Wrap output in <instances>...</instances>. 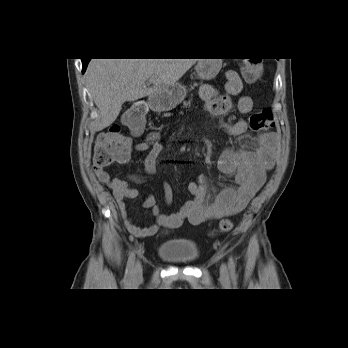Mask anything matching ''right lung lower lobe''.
I'll return each instance as SVG.
<instances>
[{"label": "right lung lower lobe", "mask_w": 348, "mask_h": 348, "mask_svg": "<svg viewBox=\"0 0 348 348\" xmlns=\"http://www.w3.org/2000/svg\"><path fill=\"white\" fill-rule=\"evenodd\" d=\"M90 59H82V71L84 72V70L86 69V66L88 64Z\"/></svg>", "instance_id": "1"}]
</instances>
